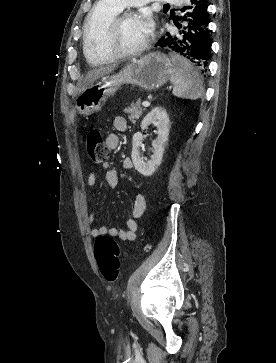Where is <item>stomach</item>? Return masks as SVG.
<instances>
[{"instance_id": "obj_1", "label": "stomach", "mask_w": 276, "mask_h": 363, "mask_svg": "<svg viewBox=\"0 0 276 363\" xmlns=\"http://www.w3.org/2000/svg\"><path fill=\"white\" fill-rule=\"evenodd\" d=\"M172 68L170 58L160 52L133 59L118 73L102 76L89 84L76 99L77 111L87 116L100 111L123 84L146 91L159 89L171 78Z\"/></svg>"}]
</instances>
